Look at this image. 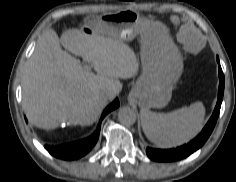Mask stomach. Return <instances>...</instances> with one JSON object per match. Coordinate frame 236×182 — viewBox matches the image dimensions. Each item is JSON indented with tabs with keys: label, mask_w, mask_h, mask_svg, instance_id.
I'll return each instance as SVG.
<instances>
[{
	"label": "stomach",
	"mask_w": 236,
	"mask_h": 182,
	"mask_svg": "<svg viewBox=\"0 0 236 182\" xmlns=\"http://www.w3.org/2000/svg\"><path fill=\"white\" fill-rule=\"evenodd\" d=\"M89 23L95 31L120 41H130L137 34L141 36L142 74L129 93V99L142 109L166 106L173 85L183 72V59L165 25L133 10L94 15Z\"/></svg>",
	"instance_id": "0dacf381"
}]
</instances>
